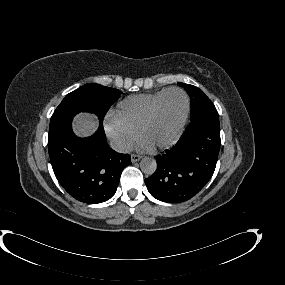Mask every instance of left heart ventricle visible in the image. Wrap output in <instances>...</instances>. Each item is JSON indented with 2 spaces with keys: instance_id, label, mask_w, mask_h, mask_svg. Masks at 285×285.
Returning a JSON list of instances; mask_svg holds the SVG:
<instances>
[{
  "instance_id": "1",
  "label": "left heart ventricle",
  "mask_w": 285,
  "mask_h": 285,
  "mask_svg": "<svg viewBox=\"0 0 285 285\" xmlns=\"http://www.w3.org/2000/svg\"><path fill=\"white\" fill-rule=\"evenodd\" d=\"M186 109V100L182 93H169L162 102L154 121L143 132L141 139L152 147L171 140L182 120Z\"/></svg>"
}]
</instances>
